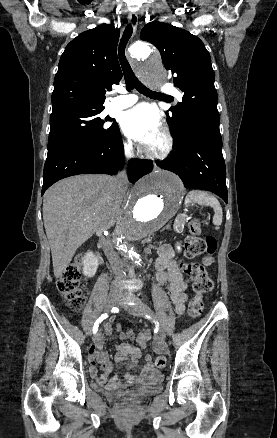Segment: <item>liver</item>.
<instances>
[{"instance_id":"obj_1","label":"liver","mask_w":277,"mask_h":438,"mask_svg":"<svg viewBox=\"0 0 277 438\" xmlns=\"http://www.w3.org/2000/svg\"><path fill=\"white\" fill-rule=\"evenodd\" d=\"M125 190L113 176L82 174L60 180L45 192L43 220L55 278L65 274L77 248L95 232L113 226Z\"/></svg>"}]
</instances>
